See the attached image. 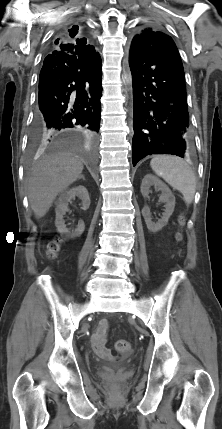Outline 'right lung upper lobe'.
<instances>
[{
  "label": "right lung upper lobe",
  "instance_id": "right-lung-upper-lobe-1",
  "mask_svg": "<svg viewBox=\"0 0 222 429\" xmlns=\"http://www.w3.org/2000/svg\"><path fill=\"white\" fill-rule=\"evenodd\" d=\"M79 29V28H78ZM78 29L73 32H63L53 42V48L55 49L51 53L60 51L68 54L75 55L79 59L88 57H94L98 53L95 51L94 46L87 43V39L77 35Z\"/></svg>",
  "mask_w": 222,
  "mask_h": 429
}]
</instances>
